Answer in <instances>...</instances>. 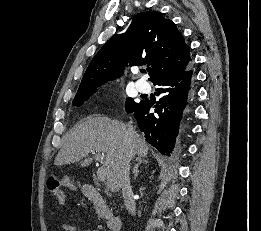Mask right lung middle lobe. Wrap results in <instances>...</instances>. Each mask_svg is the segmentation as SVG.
<instances>
[{
  "label": "right lung middle lobe",
  "mask_w": 261,
  "mask_h": 231,
  "mask_svg": "<svg viewBox=\"0 0 261 231\" xmlns=\"http://www.w3.org/2000/svg\"><path fill=\"white\" fill-rule=\"evenodd\" d=\"M92 92L84 93V94H79L76 95L72 104L76 106H80L83 104L85 100L91 96ZM139 103H136L132 98H127L126 103H125V108L127 112H130L133 110L135 107H137Z\"/></svg>",
  "instance_id": "obj_1"
}]
</instances>
